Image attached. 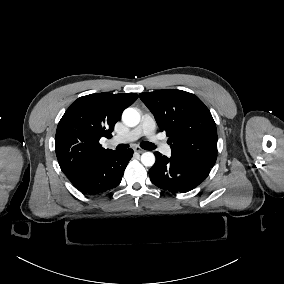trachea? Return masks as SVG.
Returning a JSON list of instances; mask_svg holds the SVG:
<instances>
[{"instance_id":"obj_1","label":"trachea","mask_w":284,"mask_h":284,"mask_svg":"<svg viewBox=\"0 0 284 284\" xmlns=\"http://www.w3.org/2000/svg\"><path fill=\"white\" fill-rule=\"evenodd\" d=\"M143 149H146V150H153L155 149V145L153 143H150L148 141H144L141 143L140 145ZM129 146L127 144H120L117 146V149L119 150H123V149H127Z\"/></svg>"}]
</instances>
